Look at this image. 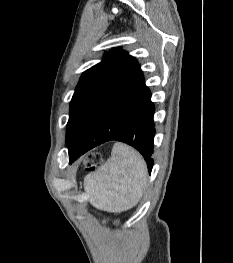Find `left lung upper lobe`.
Wrapping results in <instances>:
<instances>
[{
  "label": "left lung upper lobe",
  "instance_id": "left-lung-upper-lobe-1",
  "mask_svg": "<svg viewBox=\"0 0 233 263\" xmlns=\"http://www.w3.org/2000/svg\"><path fill=\"white\" fill-rule=\"evenodd\" d=\"M137 66L134 57L113 50L82 74L70 102L67 146L87 142L97 120Z\"/></svg>",
  "mask_w": 233,
  "mask_h": 263
}]
</instances>
